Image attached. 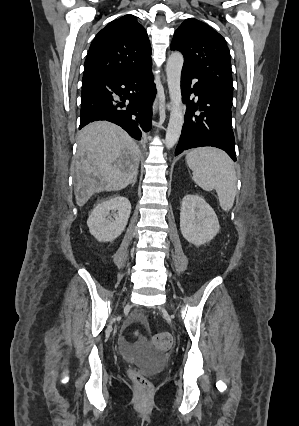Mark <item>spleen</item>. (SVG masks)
I'll return each instance as SVG.
<instances>
[{"label":"spleen","instance_id":"1","mask_svg":"<svg viewBox=\"0 0 299 426\" xmlns=\"http://www.w3.org/2000/svg\"><path fill=\"white\" fill-rule=\"evenodd\" d=\"M193 180L206 191L216 190L220 206L228 211L236 195V172L226 153L211 147L197 148L186 156Z\"/></svg>","mask_w":299,"mask_h":426}]
</instances>
